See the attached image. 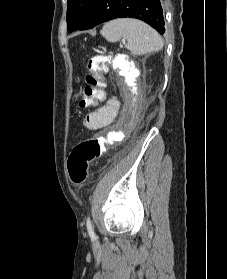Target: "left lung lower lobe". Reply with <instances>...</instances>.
<instances>
[{"instance_id":"0a47b994","label":"left lung lower lobe","mask_w":227,"mask_h":279,"mask_svg":"<svg viewBox=\"0 0 227 279\" xmlns=\"http://www.w3.org/2000/svg\"><path fill=\"white\" fill-rule=\"evenodd\" d=\"M119 17L140 19L160 34L165 32L160 0H94L79 30Z\"/></svg>"}]
</instances>
